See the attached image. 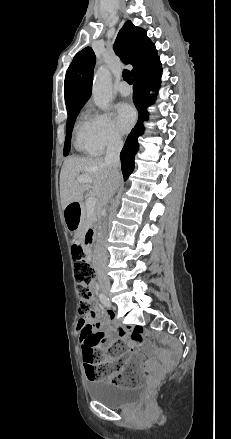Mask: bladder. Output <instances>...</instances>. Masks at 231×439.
<instances>
[{"mask_svg":"<svg viewBox=\"0 0 231 439\" xmlns=\"http://www.w3.org/2000/svg\"><path fill=\"white\" fill-rule=\"evenodd\" d=\"M88 395L110 408L122 407L141 395V389L137 386H120L106 381H96L88 386Z\"/></svg>","mask_w":231,"mask_h":439,"instance_id":"1","label":"bladder"}]
</instances>
